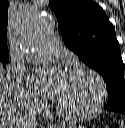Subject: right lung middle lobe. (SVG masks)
Wrapping results in <instances>:
<instances>
[{
    "mask_svg": "<svg viewBox=\"0 0 125 128\" xmlns=\"http://www.w3.org/2000/svg\"><path fill=\"white\" fill-rule=\"evenodd\" d=\"M9 62V59H0V65L5 67L4 64L8 63ZM3 63V65H2Z\"/></svg>",
    "mask_w": 125,
    "mask_h": 128,
    "instance_id": "obj_1",
    "label": "right lung middle lobe"
}]
</instances>
